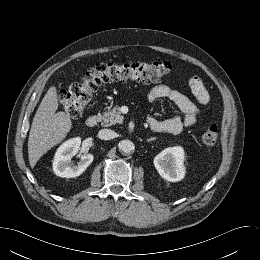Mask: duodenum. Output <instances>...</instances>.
Here are the masks:
<instances>
[{
  "instance_id": "410a0bca",
  "label": "duodenum",
  "mask_w": 260,
  "mask_h": 260,
  "mask_svg": "<svg viewBox=\"0 0 260 260\" xmlns=\"http://www.w3.org/2000/svg\"><path fill=\"white\" fill-rule=\"evenodd\" d=\"M99 121H100V117L98 115H92L86 119L85 125L88 128H93L99 123Z\"/></svg>"
}]
</instances>
